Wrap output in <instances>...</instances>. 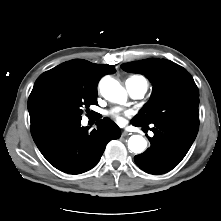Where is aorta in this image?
Listing matches in <instances>:
<instances>
[{
    "mask_svg": "<svg viewBox=\"0 0 221 221\" xmlns=\"http://www.w3.org/2000/svg\"><path fill=\"white\" fill-rule=\"evenodd\" d=\"M100 92L102 96L115 103H122L126 101L127 93L120 83L109 77L105 76L100 81ZM147 147V141L141 135H132L128 140V148L130 151L140 154Z\"/></svg>",
    "mask_w": 221,
    "mask_h": 221,
    "instance_id": "obj_1",
    "label": "aorta"
}]
</instances>
